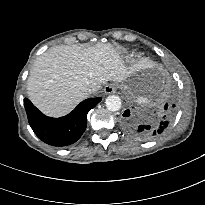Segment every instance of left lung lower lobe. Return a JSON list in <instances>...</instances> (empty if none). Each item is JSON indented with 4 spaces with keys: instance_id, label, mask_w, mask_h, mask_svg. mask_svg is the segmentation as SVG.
<instances>
[{
    "instance_id": "left-lung-lower-lobe-1",
    "label": "left lung lower lobe",
    "mask_w": 205,
    "mask_h": 205,
    "mask_svg": "<svg viewBox=\"0 0 205 205\" xmlns=\"http://www.w3.org/2000/svg\"><path fill=\"white\" fill-rule=\"evenodd\" d=\"M175 105L164 106V109L158 114L156 120L147 123H138L134 117L130 115V111L126 110L123 114V125L125 129L134 137L141 140H152L162 135L170 126L173 117V108Z\"/></svg>"
}]
</instances>
